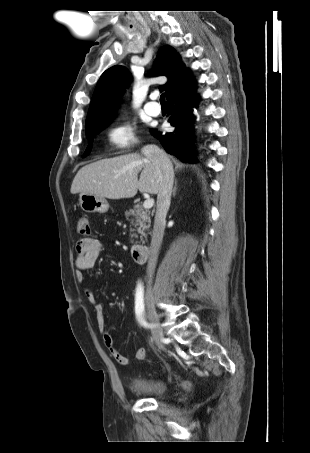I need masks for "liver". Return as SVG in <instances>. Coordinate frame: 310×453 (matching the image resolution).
<instances>
[{
  "mask_svg": "<svg viewBox=\"0 0 310 453\" xmlns=\"http://www.w3.org/2000/svg\"><path fill=\"white\" fill-rule=\"evenodd\" d=\"M159 187V171L156 167L147 158L132 153L82 167L74 177L70 191L72 194L86 193L118 200L132 198L138 190L158 194Z\"/></svg>",
  "mask_w": 310,
  "mask_h": 453,
  "instance_id": "obj_1",
  "label": "liver"
}]
</instances>
